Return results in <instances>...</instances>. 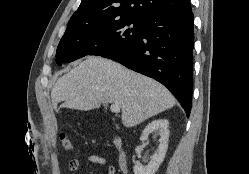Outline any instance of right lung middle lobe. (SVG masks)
Returning a JSON list of instances; mask_svg holds the SVG:
<instances>
[{
    "label": "right lung middle lobe",
    "instance_id": "right-lung-middle-lobe-1",
    "mask_svg": "<svg viewBox=\"0 0 249 174\" xmlns=\"http://www.w3.org/2000/svg\"><path fill=\"white\" fill-rule=\"evenodd\" d=\"M145 20L132 17L66 29L59 42L56 62L59 66L86 55L114 54L135 43L142 35Z\"/></svg>",
    "mask_w": 249,
    "mask_h": 174
}]
</instances>
